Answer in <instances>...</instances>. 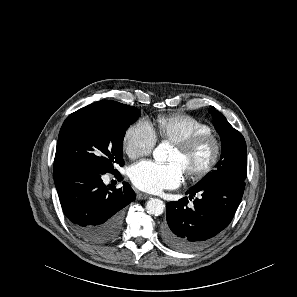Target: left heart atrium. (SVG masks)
Segmentation results:
<instances>
[{"instance_id":"39dd6f15","label":"left heart atrium","mask_w":297,"mask_h":297,"mask_svg":"<svg viewBox=\"0 0 297 297\" xmlns=\"http://www.w3.org/2000/svg\"><path fill=\"white\" fill-rule=\"evenodd\" d=\"M184 170L178 163L160 164L145 160L131 168L133 184L146 192L158 193L177 187L184 179Z\"/></svg>"}]
</instances>
